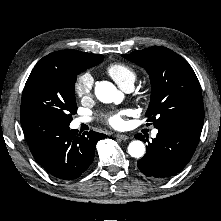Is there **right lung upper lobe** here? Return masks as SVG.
<instances>
[{
  "instance_id": "obj_1",
  "label": "right lung upper lobe",
  "mask_w": 221,
  "mask_h": 221,
  "mask_svg": "<svg viewBox=\"0 0 221 221\" xmlns=\"http://www.w3.org/2000/svg\"><path fill=\"white\" fill-rule=\"evenodd\" d=\"M103 57V55H94L77 50H61L43 57L34 68L55 66L68 71H75L79 65L96 63Z\"/></svg>"
}]
</instances>
